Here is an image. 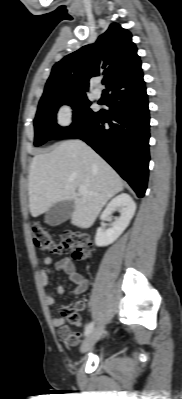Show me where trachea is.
Returning <instances> with one entry per match:
<instances>
[{
    "mask_svg": "<svg viewBox=\"0 0 182 399\" xmlns=\"http://www.w3.org/2000/svg\"><path fill=\"white\" fill-rule=\"evenodd\" d=\"M103 84H106L107 83V79H103Z\"/></svg>",
    "mask_w": 182,
    "mask_h": 399,
    "instance_id": "1",
    "label": "trachea"
}]
</instances>
